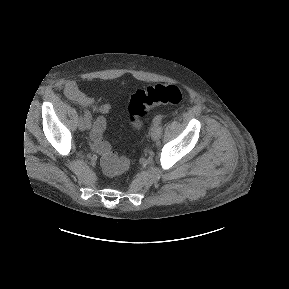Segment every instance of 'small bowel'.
Returning a JSON list of instances; mask_svg holds the SVG:
<instances>
[{
    "instance_id": "c3829d8e",
    "label": "small bowel",
    "mask_w": 289,
    "mask_h": 289,
    "mask_svg": "<svg viewBox=\"0 0 289 289\" xmlns=\"http://www.w3.org/2000/svg\"><path fill=\"white\" fill-rule=\"evenodd\" d=\"M64 93L68 99L81 105L84 108H91L96 112H99L103 115L109 114L112 106L109 103H104L101 105H96L95 99L91 96L86 95L82 92L75 81H67L64 86ZM92 130V135H93Z\"/></svg>"
}]
</instances>
